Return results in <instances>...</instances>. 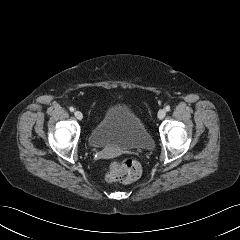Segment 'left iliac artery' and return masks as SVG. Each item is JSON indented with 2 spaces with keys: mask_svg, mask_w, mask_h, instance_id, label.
I'll list each match as a JSON object with an SVG mask.
<instances>
[{
  "mask_svg": "<svg viewBox=\"0 0 240 240\" xmlns=\"http://www.w3.org/2000/svg\"><path fill=\"white\" fill-rule=\"evenodd\" d=\"M165 110H166V111H170V106L167 105V106L165 107Z\"/></svg>",
  "mask_w": 240,
  "mask_h": 240,
  "instance_id": "44dca946",
  "label": "left iliac artery"
}]
</instances>
